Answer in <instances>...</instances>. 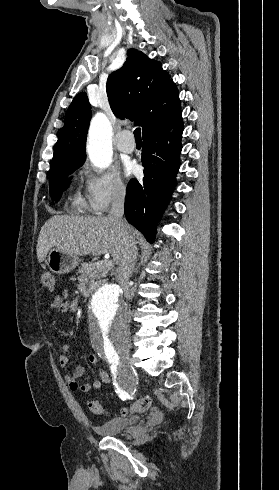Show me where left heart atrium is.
Masks as SVG:
<instances>
[{
	"label": "left heart atrium",
	"mask_w": 279,
	"mask_h": 490,
	"mask_svg": "<svg viewBox=\"0 0 279 490\" xmlns=\"http://www.w3.org/2000/svg\"><path fill=\"white\" fill-rule=\"evenodd\" d=\"M135 170H136V164L133 161H128L125 164V173L127 175H131L132 173L135 172Z\"/></svg>",
	"instance_id": "39dd6f15"
}]
</instances>
